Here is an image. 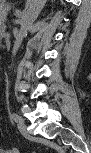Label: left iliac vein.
Returning <instances> with one entry per match:
<instances>
[{"label": "left iliac vein", "mask_w": 91, "mask_h": 153, "mask_svg": "<svg viewBox=\"0 0 91 153\" xmlns=\"http://www.w3.org/2000/svg\"><path fill=\"white\" fill-rule=\"evenodd\" d=\"M17 125H18V129H19L20 133H21L24 137L29 138V137H30V133L27 131V127H26V125H25V123L23 122L22 119H20V120L18 121Z\"/></svg>", "instance_id": "4c4485c4"}]
</instances>
